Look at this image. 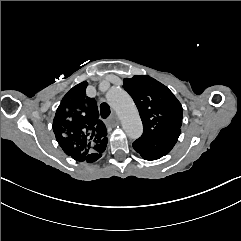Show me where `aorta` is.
Here are the masks:
<instances>
[{
	"mask_svg": "<svg viewBox=\"0 0 241 241\" xmlns=\"http://www.w3.org/2000/svg\"><path fill=\"white\" fill-rule=\"evenodd\" d=\"M107 100L119 116L125 133L132 139L139 138L143 126L132 98L124 90L117 88L108 92Z\"/></svg>",
	"mask_w": 241,
	"mask_h": 241,
	"instance_id": "1",
	"label": "aorta"
}]
</instances>
